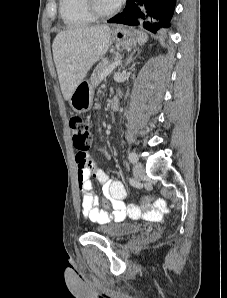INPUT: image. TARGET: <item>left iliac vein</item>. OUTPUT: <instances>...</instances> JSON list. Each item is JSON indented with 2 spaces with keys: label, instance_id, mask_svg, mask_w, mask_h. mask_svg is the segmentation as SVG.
<instances>
[{
  "label": "left iliac vein",
  "instance_id": "1",
  "mask_svg": "<svg viewBox=\"0 0 227 298\" xmlns=\"http://www.w3.org/2000/svg\"><path fill=\"white\" fill-rule=\"evenodd\" d=\"M133 173H134V176L137 180H139L140 178H142V176L144 175V167L141 163H136L134 165V168H133Z\"/></svg>",
  "mask_w": 227,
  "mask_h": 298
}]
</instances>
